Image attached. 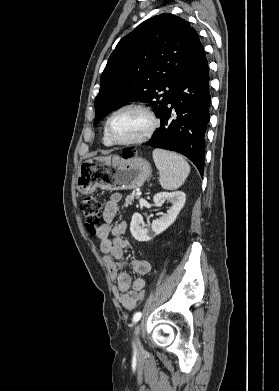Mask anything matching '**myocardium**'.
I'll list each match as a JSON object with an SVG mask.
<instances>
[{
    "mask_svg": "<svg viewBox=\"0 0 279 391\" xmlns=\"http://www.w3.org/2000/svg\"><path fill=\"white\" fill-rule=\"evenodd\" d=\"M128 109L138 110L144 113L149 119V127L146 129V131L143 134H141L140 136L134 139L127 140V141H117L110 134V126H111L112 119L119 112ZM158 127H159V120L151 107H149L144 103L131 102L118 107L110 114L105 124V135L108 141L112 145L130 146V145L141 144L148 141L154 135Z\"/></svg>",
    "mask_w": 279,
    "mask_h": 391,
    "instance_id": "obj_1",
    "label": "myocardium"
}]
</instances>
